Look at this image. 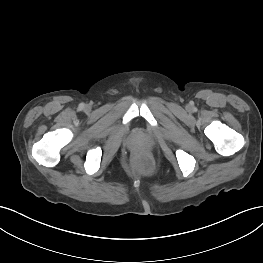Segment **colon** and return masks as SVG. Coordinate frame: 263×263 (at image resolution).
Instances as JSON below:
<instances>
[{"instance_id":"5ec220e1","label":"colon","mask_w":263,"mask_h":263,"mask_svg":"<svg viewBox=\"0 0 263 263\" xmlns=\"http://www.w3.org/2000/svg\"><path fill=\"white\" fill-rule=\"evenodd\" d=\"M138 166L142 169H147L149 164L146 161H139Z\"/></svg>"}]
</instances>
